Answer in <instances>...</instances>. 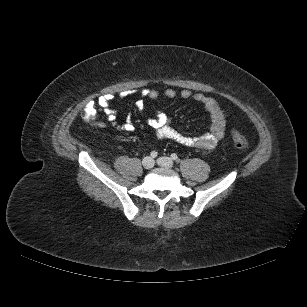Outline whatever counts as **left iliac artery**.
<instances>
[{"label": "left iliac artery", "mask_w": 307, "mask_h": 307, "mask_svg": "<svg viewBox=\"0 0 307 307\" xmlns=\"http://www.w3.org/2000/svg\"><path fill=\"white\" fill-rule=\"evenodd\" d=\"M171 158H172L173 160L177 161V160H178V155H177L176 153H172V154H171Z\"/></svg>", "instance_id": "obj_1"}]
</instances>
